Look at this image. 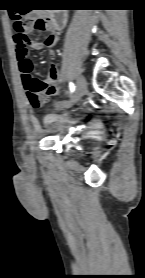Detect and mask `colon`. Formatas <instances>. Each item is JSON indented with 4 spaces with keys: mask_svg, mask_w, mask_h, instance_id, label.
Segmentation results:
<instances>
[{
    "mask_svg": "<svg viewBox=\"0 0 145 278\" xmlns=\"http://www.w3.org/2000/svg\"><path fill=\"white\" fill-rule=\"evenodd\" d=\"M48 24L49 21L46 18H35L32 26L36 31H43L47 28ZM13 29L14 37L16 38L17 42L20 43V46H16V54L17 57L21 59L26 56L28 50V38L25 35L26 25L20 19L14 18ZM29 86L31 88L29 93V101L31 105L34 107H40L41 99L38 91L39 86L35 81L30 82Z\"/></svg>",
    "mask_w": 145,
    "mask_h": 278,
    "instance_id": "obj_1",
    "label": "colon"
}]
</instances>
